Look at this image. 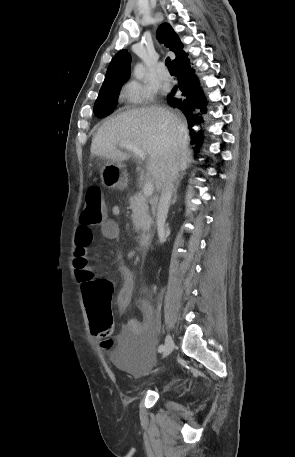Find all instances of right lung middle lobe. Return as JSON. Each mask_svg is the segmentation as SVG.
Listing matches in <instances>:
<instances>
[{"label": "right lung middle lobe", "mask_w": 295, "mask_h": 457, "mask_svg": "<svg viewBox=\"0 0 295 457\" xmlns=\"http://www.w3.org/2000/svg\"><path fill=\"white\" fill-rule=\"evenodd\" d=\"M121 87L110 90H101L94 104V113L99 118H104L111 114L116 106Z\"/></svg>", "instance_id": "dd1d6c3e"}]
</instances>
